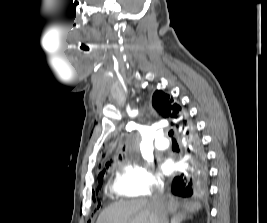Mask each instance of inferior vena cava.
Segmentation results:
<instances>
[{"label": "inferior vena cava", "instance_id": "obj_1", "mask_svg": "<svg viewBox=\"0 0 267 223\" xmlns=\"http://www.w3.org/2000/svg\"><path fill=\"white\" fill-rule=\"evenodd\" d=\"M152 202L159 212L158 223H168L167 220L168 211L166 207V196L164 194L163 185L158 186L157 189L155 190L152 197Z\"/></svg>", "mask_w": 267, "mask_h": 223}]
</instances>
